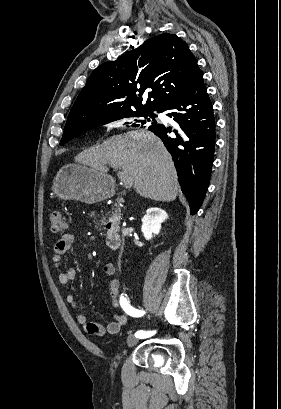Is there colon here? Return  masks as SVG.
<instances>
[{
  "instance_id": "obj_1",
  "label": "colon",
  "mask_w": 281,
  "mask_h": 409,
  "mask_svg": "<svg viewBox=\"0 0 281 409\" xmlns=\"http://www.w3.org/2000/svg\"><path fill=\"white\" fill-rule=\"evenodd\" d=\"M52 231L58 235H63L68 231V221L59 210H51L49 212Z\"/></svg>"
}]
</instances>
